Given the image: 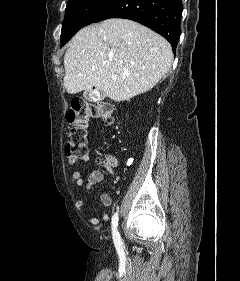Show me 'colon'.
Returning a JSON list of instances; mask_svg holds the SVG:
<instances>
[{
	"mask_svg": "<svg viewBox=\"0 0 240 281\" xmlns=\"http://www.w3.org/2000/svg\"><path fill=\"white\" fill-rule=\"evenodd\" d=\"M91 119H99L106 126L113 125L115 118L112 105L104 101L73 99L66 114L68 133L65 144V155L71 162L88 155V124Z\"/></svg>",
	"mask_w": 240,
	"mask_h": 281,
	"instance_id": "5ec220e1",
	"label": "colon"
}]
</instances>
